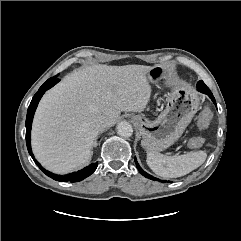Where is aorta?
Here are the masks:
<instances>
[{
	"label": "aorta",
	"instance_id": "1",
	"mask_svg": "<svg viewBox=\"0 0 241 241\" xmlns=\"http://www.w3.org/2000/svg\"><path fill=\"white\" fill-rule=\"evenodd\" d=\"M117 134L122 137H131L133 134V127L127 121H121L117 125Z\"/></svg>",
	"mask_w": 241,
	"mask_h": 241
}]
</instances>
